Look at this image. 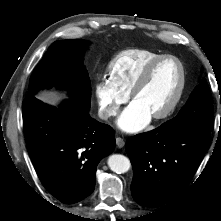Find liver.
Returning <instances> with one entry per match:
<instances>
[{
    "label": "liver",
    "mask_w": 221,
    "mask_h": 221,
    "mask_svg": "<svg viewBox=\"0 0 221 221\" xmlns=\"http://www.w3.org/2000/svg\"><path fill=\"white\" fill-rule=\"evenodd\" d=\"M38 98L45 103L55 105L59 100V97L53 92H42Z\"/></svg>",
    "instance_id": "obj_1"
}]
</instances>
